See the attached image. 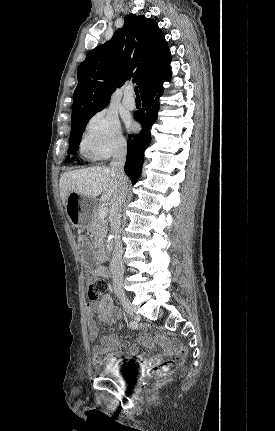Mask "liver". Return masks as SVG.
I'll return each instance as SVG.
<instances>
[{
  "label": "liver",
  "mask_w": 275,
  "mask_h": 431,
  "mask_svg": "<svg viewBox=\"0 0 275 431\" xmlns=\"http://www.w3.org/2000/svg\"><path fill=\"white\" fill-rule=\"evenodd\" d=\"M59 188L65 206L70 192L89 198H96L101 194V201L108 202L112 199L117 184L108 167L97 166L63 173Z\"/></svg>",
  "instance_id": "obj_1"
}]
</instances>
